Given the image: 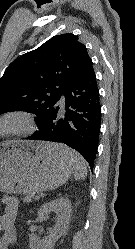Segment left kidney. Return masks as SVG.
<instances>
[{
	"label": "left kidney",
	"instance_id": "5707ae66",
	"mask_svg": "<svg viewBox=\"0 0 135 249\" xmlns=\"http://www.w3.org/2000/svg\"><path fill=\"white\" fill-rule=\"evenodd\" d=\"M51 211L57 215L53 229L42 240L29 238V249H53L57 240L67 232L72 213L69 199L61 197L44 204L38 210V216L46 219Z\"/></svg>",
	"mask_w": 135,
	"mask_h": 249
}]
</instances>
